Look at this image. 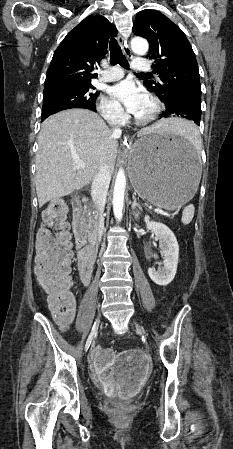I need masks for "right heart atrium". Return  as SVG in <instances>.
I'll return each mask as SVG.
<instances>
[{"label": "right heart atrium", "instance_id": "d8ad5b80", "mask_svg": "<svg viewBox=\"0 0 233 449\" xmlns=\"http://www.w3.org/2000/svg\"><path fill=\"white\" fill-rule=\"evenodd\" d=\"M97 108L108 123L118 125L125 120V113L121 106L107 96H101L99 98Z\"/></svg>", "mask_w": 233, "mask_h": 449}]
</instances>
